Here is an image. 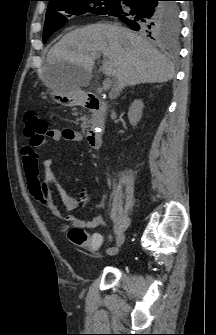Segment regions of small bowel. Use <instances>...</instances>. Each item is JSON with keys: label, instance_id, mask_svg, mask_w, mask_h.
Returning a JSON list of instances; mask_svg holds the SVG:
<instances>
[{"label": "small bowel", "instance_id": "small-bowel-1", "mask_svg": "<svg viewBox=\"0 0 216 335\" xmlns=\"http://www.w3.org/2000/svg\"><path fill=\"white\" fill-rule=\"evenodd\" d=\"M82 136L78 131L73 129H51L48 130L47 135L43 143L39 146L45 145L48 140L53 141H72L78 142L81 141ZM22 159H23V168L28 185V189L32 196L37 199L41 205L53 216L61 219L64 223L63 228H68L70 226L80 227L83 229L86 228H95L103 227L105 225L104 218L102 216H94L90 220H82L77 218L74 215H64V212H71L75 210L79 202L67 194L62 188L58 187L55 184L53 171H52V160L46 158L43 161V174H44V185L41 184L39 179V165H38V152L26 146L22 148ZM47 186H53L62 202L63 207L57 206L49 197ZM92 237H99L102 240V237L98 233H94ZM97 250V249H96Z\"/></svg>", "mask_w": 216, "mask_h": 335}]
</instances>
